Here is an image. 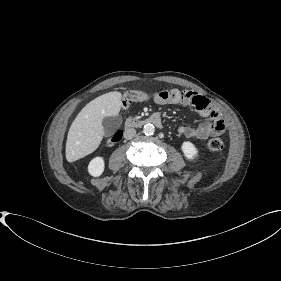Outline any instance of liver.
Listing matches in <instances>:
<instances>
[{
	"mask_svg": "<svg viewBox=\"0 0 281 281\" xmlns=\"http://www.w3.org/2000/svg\"><path fill=\"white\" fill-rule=\"evenodd\" d=\"M121 99L120 92H109L90 101L79 112L67 136L66 159L68 162L79 160L99 147L104 136L102 121L107 116L119 114Z\"/></svg>",
	"mask_w": 281,
	"mask_h": 281,
	"instance_id": "liver-1",
	"label": "liver"
}]
</instances>
